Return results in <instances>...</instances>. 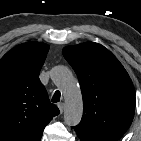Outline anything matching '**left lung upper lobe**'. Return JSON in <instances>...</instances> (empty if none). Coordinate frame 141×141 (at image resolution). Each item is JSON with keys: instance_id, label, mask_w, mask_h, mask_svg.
<instances>
[{"instance_id": "5c2ea615", "label": "left lung upper lobe", "mask_w": 141, "mask_h": 141, "mask_svg": "<svg viewBox=\"0 0 141 141\" xmlns=\"http://www.w3.org/2000/svg\"><path fill=\"white\" fill-rule=\"evenodd\" d=\"M75 70L83 97V116L73 127L81 141H117L135 112L132 81L118 59L104 46L86 42L63 49Z\"/></svg>"}]
</instances>
